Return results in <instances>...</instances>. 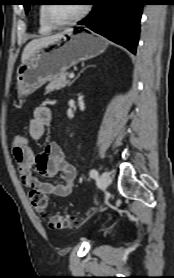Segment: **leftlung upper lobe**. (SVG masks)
<instances>
[{
	"label": "left lung upper lobe",
	"instance_id": "left-lung-upper-lobe-1",
	"mask_svg": "<svg viewBox=\"0 0 174 278\" xmlns=\"http://www.w3.org/2000/svg\"><path fill=\"white\" fill-rule=\"evenodd\" d=\"M32 2H33V0H24L23 5L25 7L26 13H28L30 5L33 4Z\"/></svg>",
	"mask_w": 174,
	"mask_h": 278
}]
</instances>
